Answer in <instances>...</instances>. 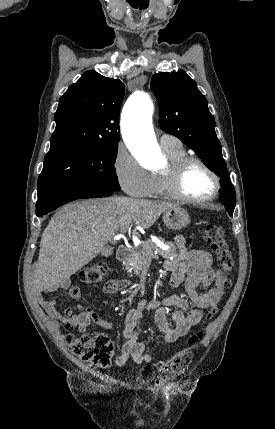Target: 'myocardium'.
<instances>
[{
    "label": "myocardium",
    "mask_w": 275,
    "mask_h": 429,
    "mask_svg": "<svg viewBox=\"0 0 275 429\" xmlns=\"http://www.w3.org/2000/svg\"><path fill=\"white\" fill-rule=\"evenodd\" d=\"M192 164H199L211 176L214 182V190L212 194L205 199H194L187 196L181 189V181L187 168ZM165 190L168 196L179 201L192 205H205L214 201L219 195L221 189L220 178L215 170L203 159L197 156L186 155L179 159L170 161L168 165L160 172Z\"/></svg>",
    "instance_id": "myocardium-1"
}]
</instances>
